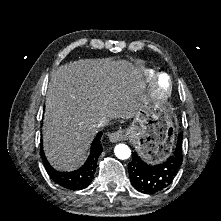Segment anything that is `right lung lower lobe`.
Returning a JSON list of instances; mask_svg holds the SVG:
<instances>
[{"mask_svg": "<svg viewBox=\"0 0 221 221\" xmlns=\"http://www.w3.org/2000/svg\"><path fill=\"white\" fill-rule=\"evenodd\" d=\"M101 136L102 132H99L92 142L90 155L85 164L78 170L72 172H59L54 170L46 160L43 148L41 146V157L44 161L45 168L53 181L60 186L71 190H80L86 188L93 179L96 172L97 160L103 151L100 141Z\"/></svg>", "mask_w": 221, "mask_h": 221, "instance_id": "98d812e1", "label": "right lung lower lobe"}]
</instances>
